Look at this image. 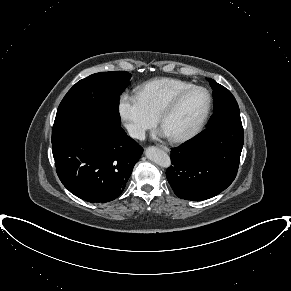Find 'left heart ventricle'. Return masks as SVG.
<instances>
[{
  "label": "left heart ventricle",
  "instance_id": "left-heart-ventricle-1",
  "mask_svg": "<svg viewBox=\"0 0 291 291\" xmlns=\"http://www.w3.org/2000/svg\"><path fill=\"white\" fill-rule=\"evenodd\" d=\"M207 105V95L202 90L190 92L165 119L162 131L167 137H177L191 131Z\"/></svg>",
  "mask_w": 291,
  "mask_h": 291
}]
</instances>
